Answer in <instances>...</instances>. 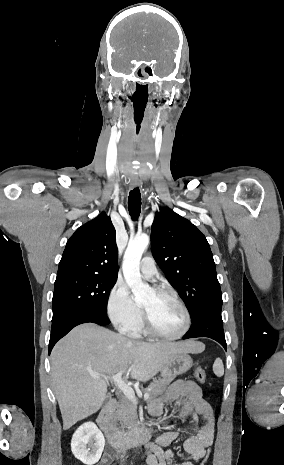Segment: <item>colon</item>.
Listing matches in <instances>:
<instances>
[{
  "label": "colon",
  "mask_w": 284,
  "mask_h": 465,
  "mask_svg": "<svg viewBox=\"0 0 284 465\" xmlns=\"http://www.w3.org/2000/svg\"><path fill=\"white\" fill-rule=\"evenodd\" d=\"M194 376H195V378H196V380L198 382H206V380H207L206 372L201 368H197L195 370ZM206 452L207 453L205 454L204 462L203 461L200 462L199 465H208L207 462H209V458H211V456H212L211 454H212L213 451H212V449L209 448V449H207Z\"/></svg>",
  "instance_id": "5ec220e1"
}]
</instances>
